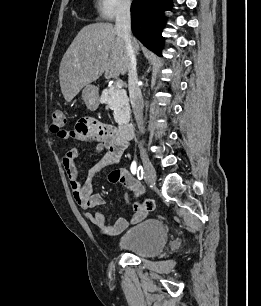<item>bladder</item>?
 <instances>
[{
    "mask_svg": "<svg viewBox=\"0 0 261 306\" xmlns=\"http://www.w3.org/2000/svg\"><path fill=\"white\" fill-rule=\"evenodd\" d=\"M168 240L166 225L157 218L145 219L128 228L118 239L119 249L140 257L159 254Z\"/></svg>",
    "mask_w": 261,
    "mask_h": 306,
    "instance_id": "bladder-1",
    "label": "bladder"
}]
</instances>
